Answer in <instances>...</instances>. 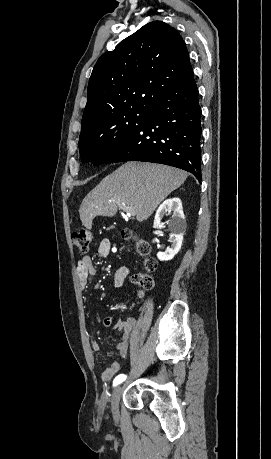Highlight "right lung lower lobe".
<instances>
[{
	"label": "right lung lower lobe",
	"mask_w": 271,
	"mask_h": 459,
	"mask_svg": "<svg viewBox=\"0 0 271 459\" xmlns=\"http://www.w3.org/2000/svg\"><path fill=\"white\" fill-rule=\"evenodd\" d=\"M194 79L159 97L150 115L107 163L146 161L192 173L201 183V107Z\"/></svg>",
	"instance_id": "right-lung-lower-lobe-1"
}]
</instances>
